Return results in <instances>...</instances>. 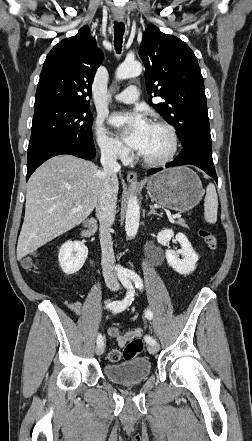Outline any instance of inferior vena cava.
I'll return each instance as SVG.
<instances>
[{
    "mask_svg": "<svg viewBox=\"0 0 252 441\" xmlns=\"http://www.w3.org/2000/svg\"><path fill=\"white\" fill-rule=\"evenodd\" d=\"M102 184L98 198L97 218L100 221V244L102 250V269L106 285L118 290L120 285L116 276L115 257L112 247L110 228L114 223L117 197L113 193V183L117 180L120 165L117 155L109 147L101 148Z\"/></svg>",
    "mask_w": 252,
    "mask_h": 441,
    "instance_id": "obj_1",
    "label": "inferior vena cava"
}]
</instances>
